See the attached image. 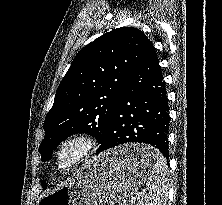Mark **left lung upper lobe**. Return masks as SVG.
Instances as JSON below:
<instances>
[{"label": "left lung upper lobe", "instance_id": "left-lung-upper-lobe-1", "mask_svg": "<svg viewBox=\"0 0 222 205\" xmlns=\"http://www.w3.org/2000/svg\"><path fill=\"white\" fill-rule=\"evenodd\" d=\"M148 42L139 29L121 27L78 52L45 118L42 161L49 160L53 149L72 134L88 133L98 141L104 136L129 73ZM41 184L46 189L44 180Z\"/></svg>", "mask_w": 222, "mask_h": 205}]
</instances>
